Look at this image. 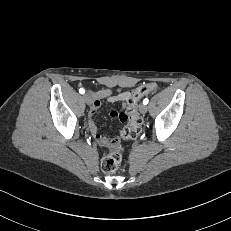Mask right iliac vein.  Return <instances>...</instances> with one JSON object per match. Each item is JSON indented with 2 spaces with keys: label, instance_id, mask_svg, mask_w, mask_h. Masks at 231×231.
<instances>
[{
  "label": "right iliac vein",
  "instance_id": "right-iliac-vein-1",
  "mask_svg": "<svg viewBox=\"0 0 231 231\" xmlns=\"http://www.w3.org/2000/svg\"><path fill=\"white\" fill-rule=\"evenodd\" d=\"M83 98H84L86 104H88V105H91V104H92L93 99H92V96H91L89 93H85V94L83 95Z\"/></svg>",
  "mask_w": 231,
  "mask_h": 231
}]
</instances>
